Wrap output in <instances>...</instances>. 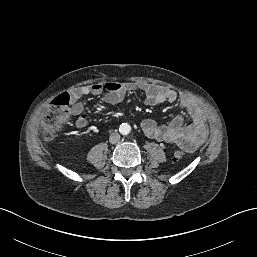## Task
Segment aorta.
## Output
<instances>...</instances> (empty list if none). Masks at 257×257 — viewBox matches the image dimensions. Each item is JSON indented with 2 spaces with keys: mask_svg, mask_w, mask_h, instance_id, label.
<instances>
[{
  "mask_svg": "<svg viewBox=\"0 0 257 257\" xmlns=\"http://www.w3.org/2000/svg\"><path fill=\"white\" fill-rule=\"evenodd\" d=\"M119 131L123 135H127L131 132V126L128 123H123L120 125Z\"/></svg>",
  "mask_w": 257,
  "mask_h": 257,
  "instance_id": "obj_1",
  "label": "aorta"
}]
</instances>
